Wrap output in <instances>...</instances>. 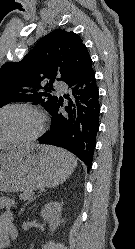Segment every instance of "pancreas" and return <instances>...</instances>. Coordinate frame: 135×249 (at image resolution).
<instances>
[{
    "label": "pancreas",
    "instance_id": "obj_1",
    "mask_svg": "<svg viewBox=\"0 0 135 249\" xmlns=\"http://www.w3.org/2000/svg\"><path fill=\"white\" fill-rule=\"evenodd\" d=\"M32 197V192L31 191H25L22 194H20V199L21 200H30Z\"/></svg>",
    "mask_w": 135,
    "mask_h": 249
}]
</instances>
